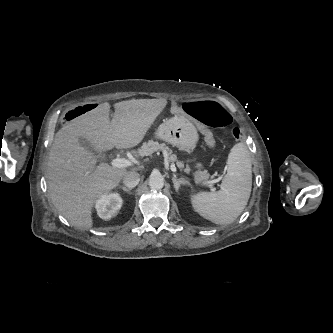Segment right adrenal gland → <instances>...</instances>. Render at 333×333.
Returning a JSON list of instances; mask_svg holds the SVG:
<instances>
[{"instance_id": "right-adrenal-gland-1", "label": "right adrenal gland", "mask_w": 333, "mask_h": 333, "mask_svg": "<svg viewBox=\"0 0 333 333\" xmlns=\"http://www.w3.org/2000/svg\"><path fill=\"white\" fill-rule=\"evenodd\" d=\"M123 191H125L126 193H131V191H132V189H130V188H126L125 186H121L120 187Z\"/></svg>"}]
</instances>
